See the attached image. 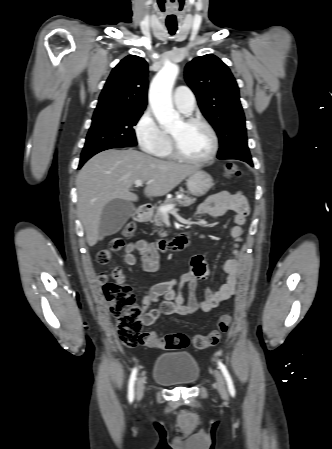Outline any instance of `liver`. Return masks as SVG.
I'll list each match as a JSON object with an SVG mask.
<instances>
[{
	"label": "liver",
	"instance_id": "6515ba94",
	"mask_svg": "<svg viewBox=\"0 0 332 449\" xmlns=\"http://www.w3.org/2000/svg\"><path fill=\"white\" fill-rule=\"evenodd\" d=\"M197 170V166L159 160L134 149H110L92 157L76 180L77 207L88 245L102 240L99 223L102 210L110 201L138 200L130 191L136 180L146 182V196L157 197L170 192Z\"/></svg>",
	"mask_w": 332,
	"mask_h": 449
}]
</instances>
